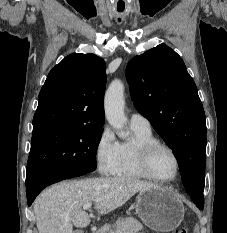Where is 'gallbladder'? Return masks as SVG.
<instances>
[{
    "label": "gallbladder",
    "mask_w": 227,
    "mask_h": 233,
    "mask_svg": "<svg viewBox=\"0 0 227 233\" xmlns=\"http://www.w3.org/2000/svg\"><path fill=\"white\" fill-rule=\"evenodd\" d=\"M74 233H83L82 230H76Z\"/></svg>",
    "instance_id": "bac80fb5"
}]
</instances>
